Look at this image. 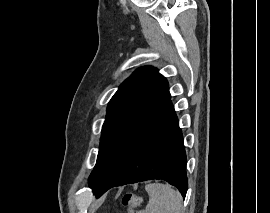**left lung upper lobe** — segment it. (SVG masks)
I'll return each mask as SVG.
<instances>
[{
    "label": "left lung upper lobe",
    "instance_id": "5c2ea615",
    "mask_svg": "<svg viewBox=\"0 0 270 213\" xmlns=\"http://www.w3.org/2000/svg\"><path fill=\"white\" fill-rule=\"evenodd\" d=\"M170 96L167 80L151 66L138 68L107 107L96 165L89 177L97 187L139 125Z\"/></svg>",
    "mask_w": 270,
    "mask_h": 213
}]
</instances>
